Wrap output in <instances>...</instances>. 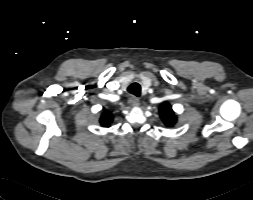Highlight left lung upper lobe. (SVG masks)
Here are the masks:
<instances>
[{
  "label": "left lung upper lobe",
  "instance_id": "obj_1",
  "mask_svg": "<svg viewBox=\"0 0 253 200\" xmlns=\"http://www.w3.org/2000/svg\"><path fill=\"white\" fill-rule=\"evenodd\" d=\"M160 117L166 126H173L176 123V116L168 103L160 106Z\"/></svg>",
  "mask_w": 253,
  "mask_h": 200
}]
</instances>
